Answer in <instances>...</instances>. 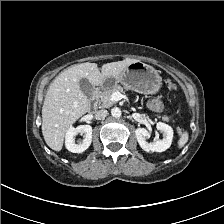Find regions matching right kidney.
Here are the masks:
<instances>
[{
	"label": "right kidney",
	"instance_id": "1",
	"mask_svg": "<svg viewBox=\"0 0 224 224\" xmlns=\"http://www.w3.org/2000/svg\"><path fill=\"white\" fill-rule=\"evenodd\" d=\"M83 134L82 142L75 143V136ZM92 142V127L90 125H80L76 128L70 127L66 133L65 145L72 153H82L89 148Z\"/></svg>",
	"mask_w": 224,
	"mask_h": 224
}]
</instances>
